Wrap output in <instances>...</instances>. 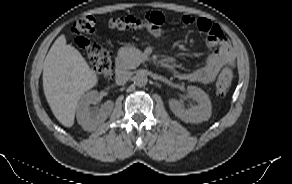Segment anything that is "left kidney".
<instances>
[{"label":"left kidney","mask_w":292,"mask_h":184,"mask_svg":"<svg viewBox=\"0 0 292 184\" xmlns=\"http://www.w3.org/2000/svg\"><path fill=\"white\" fill-rule=\"evenodd\" d=\"M187 91L189 96L197 102V105L185 109L178 100L171 99L169 100L171 111L186 123H201L207 121L212 113L209 96L196 86H188Z\"/></svg>","instance_id":"1"}]
</instances>
